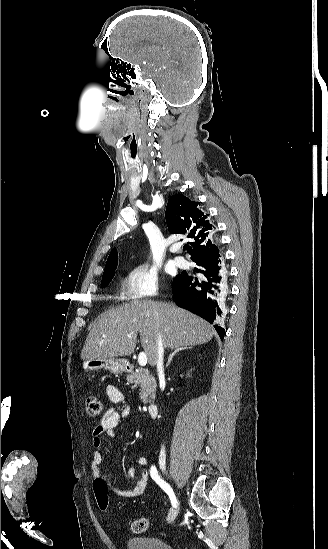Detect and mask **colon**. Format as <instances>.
I'll list each match as a JSON object with an SVG mask.
<instances>
[{
  "mask_svg": "<svg viewBox=\"0 0 328 549\" xmlns=\"http://www.w3.org/2000/svg\"><path fill=\"white\" fill-rule=\"evenodd\" d=\"M86 410L90 416H98L103 413V402L95 396H89L86 399ZM93 489L98 507L101 510H106L109 506V490L106 481L103 478L95 479L93 482ZM148 526V519L141 517L132 523V530L135 533H143L147 530Z\"/></svg>",
  "mask_w": 328,
  "mask_h": 549,
  "instance_id": "1",
  "label": "colon"
}]
</instances>
